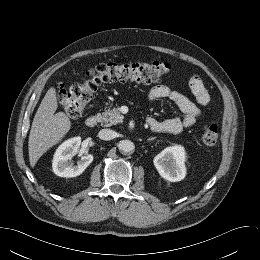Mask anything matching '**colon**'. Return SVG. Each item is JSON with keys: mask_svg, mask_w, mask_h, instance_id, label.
Wrapping results in <instances>:
<instances>
[{"mask_svg": "<svg viewBox=\"0 0 260 260\" xmlns=\"http://www.w3.org/2000/svg\"><path fill=\"white\" fill-rule=\"evenodd\" d=\"M169 69L168 63L162 61L98 64L87 72L81 82L70 89L59 84L58 102L68 116L79 118L101 84L110 81L151 84L158 82ZM218 137L219 128L216 124L207 126L202 133V141L208 146L215 145Z\"/></svg>", "mask_w": 260, "mask_h": 260, "instance_id": "colon-1", "label": "colon"}]
</instances>
